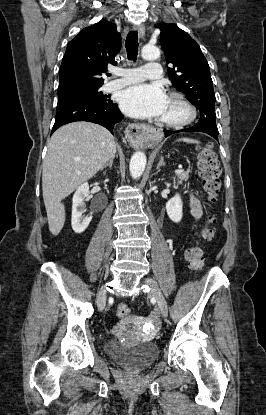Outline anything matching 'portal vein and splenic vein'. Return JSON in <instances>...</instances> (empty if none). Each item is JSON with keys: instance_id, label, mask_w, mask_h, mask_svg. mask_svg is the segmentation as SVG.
Wrapping results in <instances>:
<instances>
[{"instance_id": "portal-vein-and-splenic-vein-1", "label": "portal vein and splenic vein", "mask_w": 266, "mask_h": 415, "mask_svg": "<svg viewBox=\"0 0 266 415\" xmlns=\"http://www.w3.org/2000/svg\"><path fill=\"white\" fill-rule=\"evenodd\" d=\"M182 172H184V170H183V169H181V168H180V169L175 170V173H176V174H180V173H182Z\"/></svg>"}]
</instances>
